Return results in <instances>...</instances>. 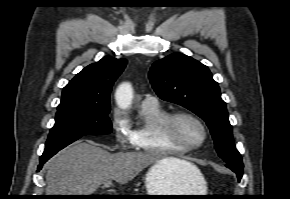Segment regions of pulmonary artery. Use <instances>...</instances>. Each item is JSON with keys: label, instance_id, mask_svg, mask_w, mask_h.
Segmentation results:
<instances>
[{"label": "pulmonary artery", "instance_id": "obj_1", "mask_svg": "<svg viewBox=\"0 0 290 199\" xmlns=\"http://www.w3.org/2000/svg\"><path fill=\"white\" fill-rule=\"evenodd\" d=\"M142 104H145V105H157L158 104V100L154 96L146 95V96H144V98L142 100Z\"/></svg>", "mask_w": 290, "mask_h": 199}]
</instances>
